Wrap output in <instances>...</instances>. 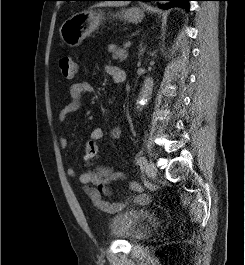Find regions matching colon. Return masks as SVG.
Returning a JSON list of instances; mask_svg holds the SVG:
<instances>
[{"mask_svg": "<svg viewBox=\"0 0 245 265\" xmlns=\"http://www.w3.org/2000/svg\"><path fill=\"white\" fill-rule=\"evenodd\" d=\"M59 68L62 76L66 79H72L77 71L75 61L70 56H62L59 60ZM98 156V144L87 142L84 147V163L91 165Z\"/></svg>", "mask_w": 245, "mask_h": 265, "instance_id": "obj_1", "label": "colon"}]
</instances>
